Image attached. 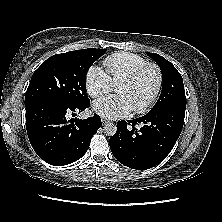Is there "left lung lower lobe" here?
<instances>
[{"label": "left lung lower lobe", "instance_id": "left-lung-lower-lobe-1", "mask_svg": "<svg viewBox=\"0 0 222 222\" xmlns=\"http://www.w3.org/2000/svg\"><path fill=\"white\" fill-rule=\"evenodd\" d=\"M186 104L170 103L146 115L117 123L110 149L123 165L146 170L162 162L176 143L184 123ZM143 124L137 130L135 125ZM130 125V126H129Z\"/></svg>", "mask_w": 222, "mask_h": 222}]
</instances>
